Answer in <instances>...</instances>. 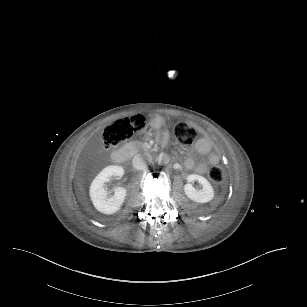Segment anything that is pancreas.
Here are the masks:
<instances>
[{
  "label": "pancreas",
  "instance_id": "1",
  "mask_svg": "<svg viewBox=\"0 0 307 307\" xmlns=\"http://www.w3.org/2000/svg\"><path fill=\"white\" fill-rule=\"evenodd\" d=\"M138 148H139V149H142V150H144V148H143V147H142L141 145H140V146H138Z\"/></svg>",
  "mask_w": 307,
  "mask_h": 307
}]
</instances>
